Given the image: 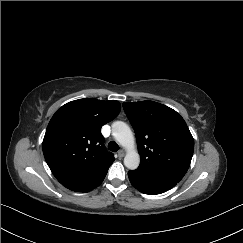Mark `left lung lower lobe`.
<instances>
[{"mask_svg": "<svg viewBox=\"0 0 243 243\" xmlns=\"http://www.w3.org/2000/svg\"><path fill=\"white\" fill-rule=\"evenodd\" d=\"M186 169L171 168L151 173L129 171L131 184L144 194H161L173 188L185 175Z\"/></svg>", "mask_w": 243, "mask_h": 243, "instance_id": "1", "label": "left lung lower lobe"}]
</instances>
